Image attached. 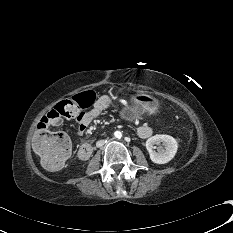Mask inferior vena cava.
Wrapping results in <instances>:
<instances>
[{
	"mask_svg": "<svg viewBox=\"0 0 233 233\" xmlns=\"http://www.w3.org/2000/svg\"><path fill=\"white\" fill-rule=\"evenodd\" d=\"M104 140H99L97 143H96V146L97 147H101V146H103L104 145Z\"/></svg>",
	"mask_w": 233,
	"mask_h": 233,
	"instance_id": "obj_1",
	"label": "inferior vena cava"
}]
</instances>
